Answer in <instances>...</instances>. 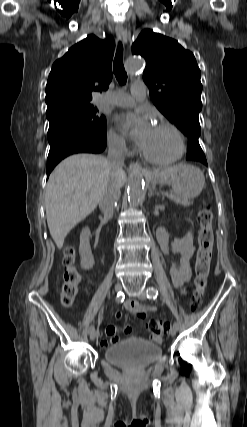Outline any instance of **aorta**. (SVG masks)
<instances>
[{
  "mask_svg": "<svg viewBox=\"0 0 247 427\" xmlns=\"http://www.w3.org/2000/svg\"><path fill=\"white\" fill-rule=\"evenodd\" d=\"M127 71L130 75H135L144 67V60L139 57H131L126 63ZM145 183L141 173L134 170L129 178L128 202L133 207H138L145 197Z\"/></svg>",
  "mask_w": 247,
  "mask_h": 427,
  "instance_id": "1",
  "label": "aorta"
}]
</instances>
